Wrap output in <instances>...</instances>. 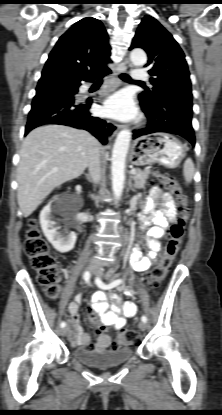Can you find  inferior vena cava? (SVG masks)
<instances>
[{
	"mask_svg": "<svg viewBox=\"0 0 222 415\" xmlns=\"http://www.w3.org/2000/svg\"><path fill=\"white\" fill-rule=\"evenodd\" d=\"M100 150L96 147L93 150L90 161L88 163L89 173L92 181L97 184L101 177V166H100Z\"/></svg>",
	"mask_w": 222,
	"mask_h": 415,
	"instance_id": "obj_1",
	"label": "inferior vena cava"
}]
</instances>
